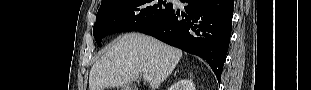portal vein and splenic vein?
I'll use <instances>...</instances> for the list:
<instances>
[{
    "label": "portal vein and splenic vein",
    "instance_id": "portal-vein-and-splenic-vein-1",
    "mask_svg": "<svg viewBox=\"0 0 311 90\" xmlns=\"http://www.w3.org/2000/svg\"><path fill=\"white\" fill-rule=\"evenodd\" d=\"M143 79L145 81H150L151 80V78H150V76L148 74H143Z\"/></svg>",
    "mask_w": 311,
    "mask_h": 90
}]
</instances>
